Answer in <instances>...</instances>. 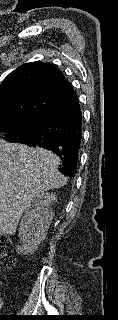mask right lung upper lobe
<instances>
[{
    "label": "right lung upper lobe",
    "instance_id": "1",
    "mask_svg": "<svg viewBox=\"0 0 118 320\" xmlns=\"http://www.w3.org/2000/svg\"><path fill=\"white\" fill-rule=\"evenodd\" d=\"M75 96L70 83L52 64H23L0 84V120H46Z\"/></svg>",
    "mask_w": 118,
    "mask_h": 320
}]
</instances>
